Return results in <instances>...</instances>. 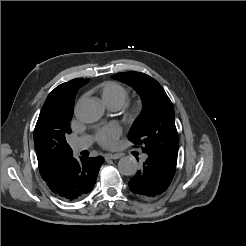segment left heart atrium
Instances as JSON below:
<instances>
[{
  "label": "left heart atrium",
  "mask_w": 246,
  "mask_h": 246,
  "mask_svg": "<svg viewBox=\"0 0 246 246\" xmlns=\"http://www.w3.org/2000/svg\"><path fill=\"white\" fill-rule=\"evenodd\" d=\"M121 132V128L118 125L112 124L99 128L96 132V138L101 146L111 148L121 135Z\"/></svg>",
  "instance_id": "obj_1"
}]
</instances>
